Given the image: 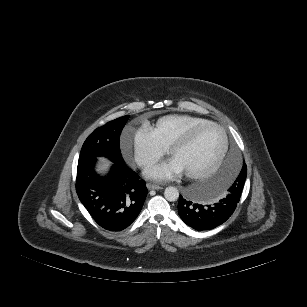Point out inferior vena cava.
Segmentation results:
<instances>
[{"instance_id":"1","label":"inferior vena cava","mask_w":307,"mask_h":307,"mask_svg":"<svg viewBox=\"0 0 307 307\" xmlns=\"http://www.w3.org/2000/svg\"><path fill=\"white\" fill-rule=\"evenodd\" d=\"M153 163H155V160H144L143 161L144 165H152Z\"/></svg>"}]
</instances>
